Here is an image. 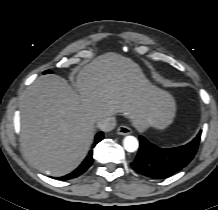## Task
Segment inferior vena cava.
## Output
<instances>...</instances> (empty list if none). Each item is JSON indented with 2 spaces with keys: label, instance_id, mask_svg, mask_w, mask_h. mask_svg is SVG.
<instances>
[{
  "label": "inferior vena cava",
  "instance_id": "inferior-vena-cava-1",
  "mask_svg": "<svg viewBox=\"0 0 218 210\" xmlns=\"http://www.w3.org/2000/svg\"><path fill=\"white\" fill-rule=\"evenodd\" d=\"M115 126H116V120L114 117H108L103 121L99 122L97 125V127L104 132L113 130Z\"/></svg>",
  "mask_w": 218,
  "mask_h": 210
}]
</instances>
